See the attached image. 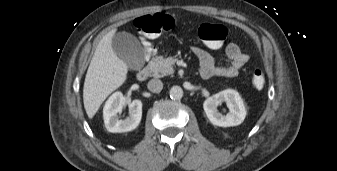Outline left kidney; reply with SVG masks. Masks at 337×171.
<instances>
[{
    "label": "left kidney",
    "mask_w": 337,
    "mask_h": 171,
    "mask_svg": "<svg viewBox=\"0 0 337 171\" xmlns=\"http://www.w3.org/2000/svg\"><path fill=\"white\" fill-rule=\"evenodd\" d=\"M226 102L229 113L223 115L217 111V106ZM204 111L213 125L220 127L237 126L246 116V108L239 93L232 89L223 90L207 98L203 103Z\"/></svg>",
    "instance_id": "1"
}]
</instances>
